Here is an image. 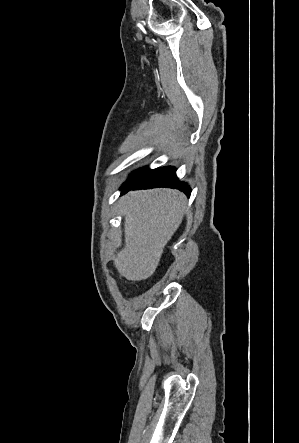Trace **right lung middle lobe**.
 <instances>
[{
    "instance_id": "obj_1",
    "label": "right lung middle lobe",
    "mask_w": 299,
    "mask_h": 443,
    "mask_svg": "<svg viewBox=\"0 0 299 443\" xmlns=\"http://www.w3.org/2000/svg\"><path fill=\"white\" fill-rule=\"evenodd\" d=\"M149 171H151V169H149L148 167L138 169L137 171L131 173L128 181L125 184L135 182L136 180L146 175Z\"/></svg>"
}]
</instances>
